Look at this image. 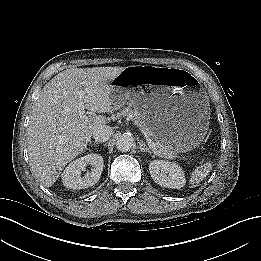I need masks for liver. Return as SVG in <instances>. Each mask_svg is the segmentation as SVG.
I'll return each instance as SVG.
<instances>
[{"mask_svg":"<svg viewBox=\"0 0 261 261\" xmlns=\"http://www.w3.org/2000/svg\"><path fill=\"white\" fill-rule=\"evenodd\" d=\"M124 67L66 69L40 92L27 127L29 162L39 182L51 187L63 168L87 147L93 132L106 122L95 113L113 108L111 82ZM80 102L91 111L80 117Z\"/></svg>","mask_w":261,"mask_h":261,"instance_id":"1","label":"liver"}]
</instances>
